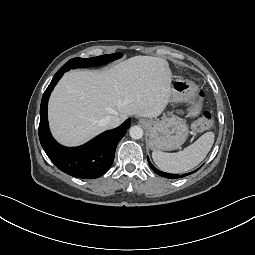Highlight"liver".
<instances>
[{"label":"liver","mask_w":255,"mask_h":255,"mask_svg":"<svg viewBox=\"0 0 255 255\" xmlns=\"http://www.w3.org/2000/svg\"><path fill=\"white\" fill-rule=\"evenodd\" d=\"M171 81L167 61L151 56L131 57L104 71H70L49 100L52 134L75 146L103 132L106 116L157 117L170 102Z\"/></svg>","instance_id":"1"}]
</instances>
